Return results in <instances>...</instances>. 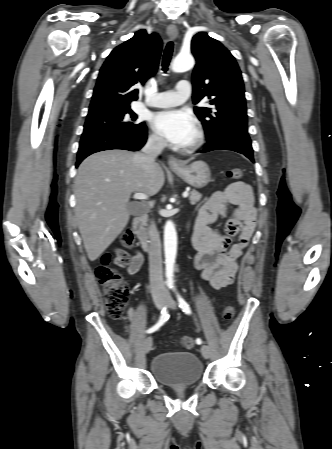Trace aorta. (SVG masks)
Listing matches in <instances>:
<instances>
[{
	"mask_svg": "<svg viewBox=\"0 0 332 449\" xmlns=\"http://www.w3.org/2000/svg\"><path fill=\"white\" fill-rule=\"evenodd\" d=\"M194 58L187 54H179L172 63L174 72H185L193 68ZM165 274L168 284H173L174 263L177 254V232L172 221H167L164 227Z\"/></svg>",
	"mask_w": 332,
	"mask_h": 449,
	"instance_id": "1",
	"label": "aorta"
}]
</instances>
